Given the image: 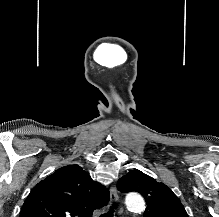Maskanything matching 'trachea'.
Segmentation results:
<instances>
[{"mask_svg": "<svg viewBox=\"0 0 219 217\" xmlns=\"http://www.w3.org/2000/svg\"><path fill=\"white\" fill-rule=\"evenodd\" d=\"M113 213H114V208L111 207L108 212H106L105 214L101 215L100 217H113Z\"/></svg>", "mask_w": 219, "mask_h": 217, "instance_id": "3493384b", "label": "trachea"}]
</instances>
